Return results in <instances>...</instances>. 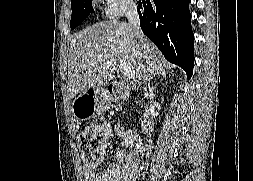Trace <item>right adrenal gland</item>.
<instances>
[{"instance_id": "2a0ac1e0", "label": "right adrenal gland", "mask_w": 253, "mask_h": 181, "mask_svg": "<svg viewBox=\"0 0 253 181\" xmlns=\"http://www.w3.org/2000/svg\"><path fill=\"white\" fill-rule=\"evenodd\" d=\"M156 75H162L164 78H166V76H167V71H165V70L163 69V70L160 71L159 74H156ZM156 75H154L153 78H154Z\"/></svg>"}]
</instances>
